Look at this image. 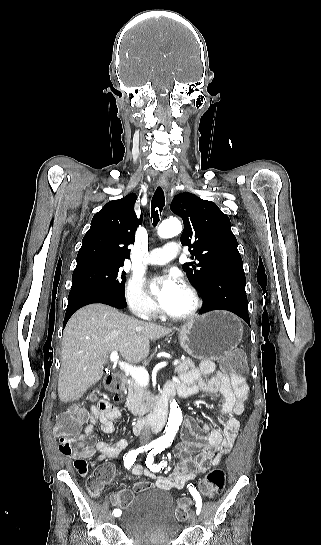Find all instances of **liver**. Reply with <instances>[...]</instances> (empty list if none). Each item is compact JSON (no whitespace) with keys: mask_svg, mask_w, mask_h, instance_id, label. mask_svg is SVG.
I'll return each instance as SVG.
<instances>
[{"mask_svg":"<svg viewBox=\"0 0 321 545\" xmlns=\"http://www.w3.org/2000/svg\"><path fill=\"white\" fill-rule=\"evenodd\" d=\"M173 329L138 321L108 305H87L69 319L63 333L58 395L62 403L81 399L100 381L109 353L119 351L128 363L149 355L150 341Z\"/></svg>","mask_w":321,"mask_h":545,"instance_id":"liver-1","label":"liver"}]
</instances>
